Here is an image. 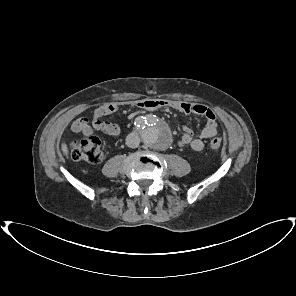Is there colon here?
<instances>
[{
    "label": "colon",
    "mask_w": 296,
    "mask_h": 296,
    "mask_svg": "<svg viewBox=\"0 0 296 296\" xmlns=\"http://www.w3.org/2000/svg\"><path fill=\"white\" fill-rule=\"evenodd\" d=\"M222 146V140L218 137L210 141V147L218 150ZM71 157L75 161L90 164H99L104 161L106 154L102 142L95 136L84 135L70 144Z\"/></svg>",
    "instance_id": "obj_1"
}]
</instances>
